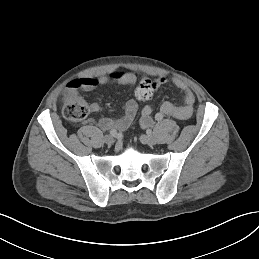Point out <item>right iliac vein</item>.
<instances>
[{
  "mask_svg": "<svg viewBox=\"0 0 259 259\" xmlns=\"http://www.w3.org/2000/svg\"><path fill=\"white\" fill-rule=\"evenodd\" d=\"M104 142H105L106 144H111V143H113V136H112V135H106V136L104 137Z\"/></svg>",
  "mask_w": 259,
  "mask_h": 259,
  "instance_id": "obj_1",
  "label": "right iliac vein"
}]
</instances>
